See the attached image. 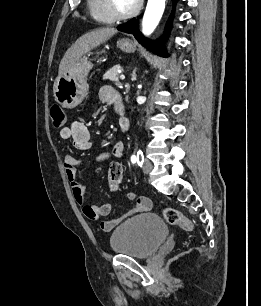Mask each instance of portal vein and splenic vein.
<instances>
[{
  "instance_id": "obj_1",
  "label": "portal vein and splenic vein",
  "mask_w": 261,
  "mask_h": 306,
  "mask_svg": "<svg viewBox=\"0 0 261 306\" xmlns=\"http://www.w3.org/2000/svg\"><path fill=\"white\" fill-rule=\"evenodd\" d=\"M120 79H121V80H124V79H125V75L121 74V75H120Z\"/></svg>"
}]
</instances>
